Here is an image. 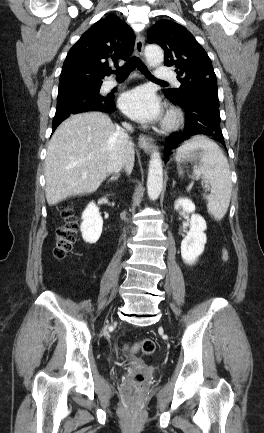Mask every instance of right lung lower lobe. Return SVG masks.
<instances>
[{
    "label": "right lung lower lobe",
    "mask_w": 264,
    "mask_h": 433,
    "mask_svg": "<svg viewBox=\"0 0 264 433\" xmlns=\"http://www.w3.org/2000/svg\"><path fill=\"white\" fill-rule=\"evenodd\" d=\"M101 84L102 82H97L88 85L96 89L71 87L66 92H58L57 109L53 119L52 132L71 114L86 111L114 112V95H101L99 93Z\"/></svg>",
    "instance_id": "right-lung-lower-lobe-1"
}]
</instances>
